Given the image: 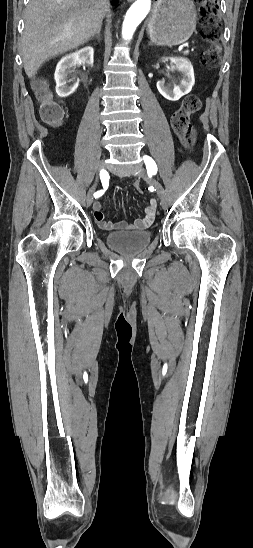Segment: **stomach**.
<instances>
[{"label": "stomach", "instance_id": "obj_1", "mask_svg": "<svg viewBox=\"0 0 253 548\" xmlns=\"http://www.w3.org/2000/svg\"><path fill=\"white\" fill-rule=\"evenodd\" d=\"M196 26L192 0H158L147 25L152 42L175 46L186 42Z\"/></svg>", "mask_w": 253, "mask_h": 548}]
</instances>
